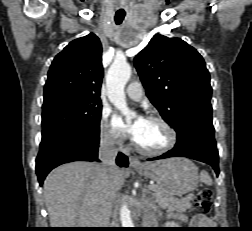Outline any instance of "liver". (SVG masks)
Masks as SVG:
<instances>
[{"instance_id":"obj_1","label":"liver","mask_w":252,"mask_h":231,"mask_svg":"<svg viewBox=\"0 0 252 231\" xmlns=\"http://www.w3.org/2000/svg\"><path fill=\"white\" fill-rule=\"evenodd\" d=\"M126 172L110 177L104 167L72 162L54 169L44 181V198L52 228L108 226Z\"/></svg>"}]
</instances>
